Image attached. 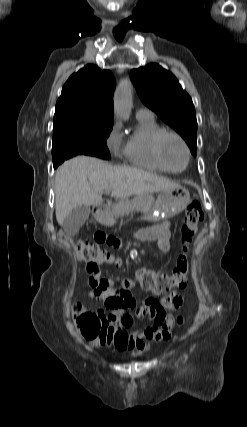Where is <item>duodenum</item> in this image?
Returning <instances> with one entry per match:
<instances>
[{"mask_svg":"<svg viewBox=\"0 0 247 427\" xmlns=\"http://www.w3.org/2000/svg\"><path fill=\"white\" fill-rule=\"evenodd\" d=\"M110 210V204L107 201H100L94 207L96 217H103Z\"/></svg>","mask_w":247,"mask_h":427,"instance_id":"duodenum-1","label":"duodenum"}]
</instances>
